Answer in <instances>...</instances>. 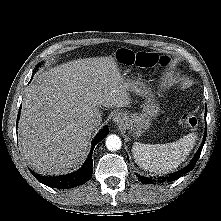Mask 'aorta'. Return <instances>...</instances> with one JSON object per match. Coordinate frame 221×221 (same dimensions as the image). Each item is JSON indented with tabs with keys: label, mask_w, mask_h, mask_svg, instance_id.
<instances>
[{
	"label": "aorta",
	"mask_w": 221,
	"mask_h": 221,
	"mask_svg": "<svg viewBox=\"0 0 221 221\" xmlns=\"http://www.w3.org/2000/svg\"><path fill=\"white\" fill-rule=\"evenodd\" d=\"M121 139L117 135H109L106 138V147L110 151H117L121 148Z\"/></svg>",
	"instance_id": "762f6f07"
}]
</instances>
